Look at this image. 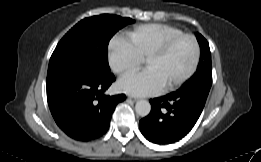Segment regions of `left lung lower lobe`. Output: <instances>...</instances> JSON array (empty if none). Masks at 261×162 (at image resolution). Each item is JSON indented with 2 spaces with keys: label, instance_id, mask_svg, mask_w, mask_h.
Returning <instances> with one entry per match:
<instances>
[{
  "label": "left lung lower lobe",
  "instance_id": "left-lung-lower-lobe-1",
  "mask_svg": "<svg viewBox=\"0 0 261 162\" xmlns=\"http://www.w3.org/2000/svg\"><path fill=\"white\" fill-rule=\"evenodd\" d=\"M211 86L183 85L176 92L150 100L151 112L140 120L143 136L156 144L174 143L196 124Z\"/></svg>",
  "mask_w": 261,
  "mask_h": 162
}]
</instances>
